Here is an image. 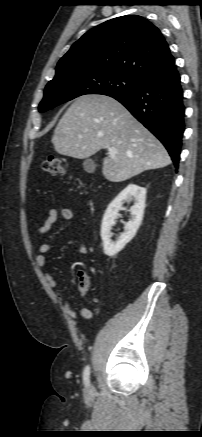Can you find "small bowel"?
Instances as JSON below:
<instances>
[{
    "instance_id": "obj_1",
    "label": "small bowel",
    "mask_w": 202,
    "mask_h": 437,
    "mask_svg": "<svg viewBox=\"0 0 202 437\" xmlns=\"http://www.w3.org/2000/svg\"><path fill=\"white\" fill-rule=\"evenodd\" d=\"M61 216L64 220H72L74 217V213L70 208L67 207H61V208H51L48 212V215L46 217V219L44 220V222L36 229V235H43L45 233H47L48 231L51 230V228L53 227V225L57 222L58 217ZM50 250V244L48 242H43L39 245L38 249H37V253L35 256V263L36 266L39 268H43L46 264V254L49 252ZM87 247L85 246V244L83 242L80 243L79 245V252L81 254H86L87 253ZM45 279L46 282L48 284V286L57 294V296L60 298L62 305H63V309L64 312L71 318V319H76L77 314L75 312V310L72 308L71 302L68 299V297L66 296V294L58 289V284L56 279L49 273L47 272L45 274ZM78 281H79V291L82 297H85L88 288H89V279L85 274H80L78 277ZM89 305H92V301L88 300L87 301ZM80 314L84 319H90L93 315V310L89 307H81L80 309Z\"/></svg>"
}]
</instances>
